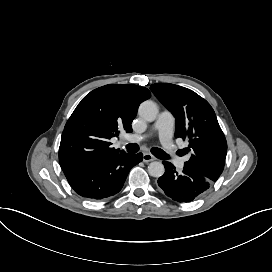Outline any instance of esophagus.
I'll use <instances>...</instances> for the list:
<instances>
[{"mask_svg": "<svg viewBox=\"0 0 272 272\" xmlns=\"http://www.w3.org/2000/svg\"><path fill=\"white\" fill-rule=\"evenodd\" d=\"M156 160V157L150 153H144L143 154V161L144 162H150Z\"/></svg>", "mask_w": 272, "mask_h": 272, "instance_id": "obj_1", "label": "esophagus"}]
</instances>
